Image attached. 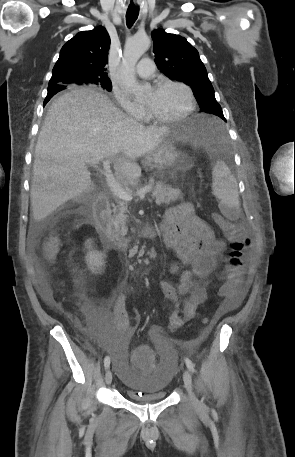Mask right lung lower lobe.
Returning <instances> with one entry per match:
<instances>
[{"mask_svg":"<svg viewBox=\"0 0 295 457\" xmlns=\"http://www.w3.org/2000/svg\"><path fill=\"white\" fill-rule=\"evenodd\" d=\"M64 87L61 86H52L48 87V94L47 97L45 98L44 105L51 99L53 95H55L57 92L63 90Z\"/></svg>","mask_w":295,"mask_h":457,"instance_id":"1","label":"right lung lower lobe"}]
</instances>
